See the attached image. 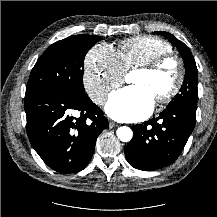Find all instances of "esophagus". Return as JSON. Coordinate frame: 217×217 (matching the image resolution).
<instances>
[{
  "label": "esophagus",
  "instance_id": "esophagus-1",
  "mask_svg": "<svg viewBox=\"0 0 217 217\" xmlns=\"http://www.w3.org/2000/svg\"><path fill=\"white\" fill-rule=\"evenodd\" d=\"M109 126H110V128H114V127H116V126H118V125H117V123H115V122H113V121H110V122H109Z\"/></svg>",
  "mask_w": 217,
  "mask_h": 217
}]
</instances>
